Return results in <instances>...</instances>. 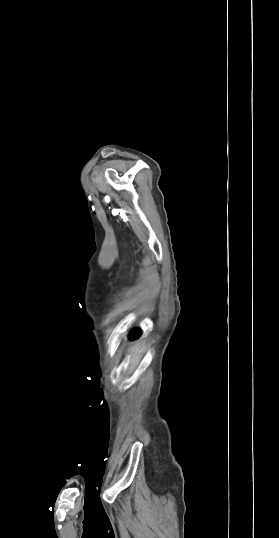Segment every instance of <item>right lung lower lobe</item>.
<instances>
[{
  "label": "right lung lower lobe",
  "mask_w": 279,
  "mask_h": 538,
  "mask_svg": "<svg viewBox=\"0 0 279 538\" xmlns=\"http://www.w3.org/2000/svg\"><path fill=\"white\" fill-rule=\"evenodd\" d=\"M141 335V331L140 330H134L132 333H130L129 337L131 339H134V338H137L138 336Z\"/></svg>",
  "instance_id": "98d812e1"
}]
</instances>
